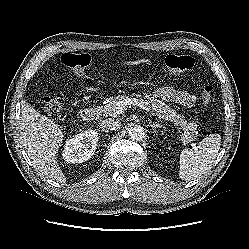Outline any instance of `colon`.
<instances>
[{
  "label": "colon",
  "instance_id": "colon-1",
  "mask_svg": "<svg viewBox=\"0 0 249 249\" xmlns=\"http://www.w3.org/2000/svg\"><path fill=\"white\" fill-rule=\"evenodd\" d=\"M62 63L69 67L76 75H84L94 69L91 56L86 53H64L61 56ZM165 69L172 75L182 74L194 66V59L188 55L171 54L164 62ZM213 86L206 85L201 91L204 104H209L212 99ZM43 110L54 118L58 117L64 106V98L61 94L53 97H45L41 100Z\"/></svg>",
  "mask_w": 249,
  "mask_h": 249
}]
</instances>
